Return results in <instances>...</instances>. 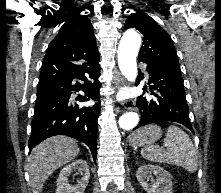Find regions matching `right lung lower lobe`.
Listing matches in <instances>:
<instances>
[{
	"mask_svg": "<svg viewBox=\"0 0 221 193\" xmlns=\"http://www.w3.org/2000/svg\"><path fill=\"white\" fill-rule=\"evenodd\" d=\"M99 62L86 74L94 79L89 81L85 74L56 81L37 90V99L32 120V130L29 138V151L43 140L54 135H67L78 139L90 148L94 161L97 154V130L100 106L73 107L70 102L72 91L82 90L85 96H79L80 102L90 99L96 100L97 90L100 87L97 81L99 77ZM77 78L85 82L81 85ZM88 97V98H87Z\"/></svg>",
	"mask_w": 221,
	"mask_h": 193,
	"instance_id": "obj_1",
	"label": "right lung lower lobe"
}]
</instances>
